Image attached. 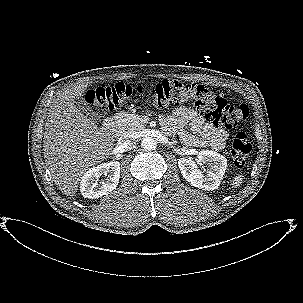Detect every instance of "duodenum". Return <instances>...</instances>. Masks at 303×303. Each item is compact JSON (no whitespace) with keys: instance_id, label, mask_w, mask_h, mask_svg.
I'll use <instances>...</instances> for the list:
<instances>
[{"instance_id":"410a0bca","label":"duodenum","mask_w":303,"mask_h":303,"mask_svg":"<svg viewBox=\"0 0 303 303\" xmlns=\"http://www.w3.org/2000/svg\"><path fill=\"white\" fill-rule=\"evenodd\" d=\"M106 127H107L108 129L114 128V127H115V121H114V119H109V121H108L107 124H106Z\"/></svg>"}]
</instances>
